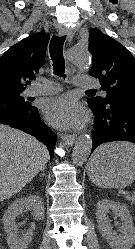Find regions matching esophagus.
Masks as SVG:
<instances>
[{"mask_svg": "<svg viewBox=\"0 0 135 249\" xmlns=\"http://www.w3.org/2000/svg\"><path fill=\"white\" fill-rule=\"evenodd\" d=\"M59 34L61 36H66L68 42L72 41L73 33H72V31L70 29H68V28H61V29H59ZM60 138H61L62 143L65 146L69 147V146H72L73 143L75 142L76 134H61Z\"/></svg>", "mask_w": 135, "mask_h": 249, "instance_id": "obj_1", "label": "esophagus"}]
</instances>
